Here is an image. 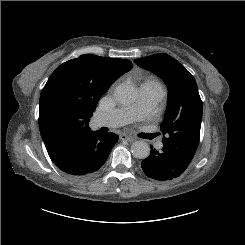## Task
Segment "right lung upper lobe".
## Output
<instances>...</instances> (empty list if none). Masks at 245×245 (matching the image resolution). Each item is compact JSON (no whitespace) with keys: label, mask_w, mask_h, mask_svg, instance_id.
Listing matches in <instances>:
<instances>
[{"label":"right lung upper lobe","mask_w":245,"mask_h":245,"mask_svg":"<svg viewBox=\"0 0 245 245\" xmlns=\"http://www.w3.org/2000/svg\"><path fill=\"white\" fill-rule=\"evenodd\" d=\"M131 68L129 60L84 54L51 74L40 95L39 128L52 161L92 132L88 123L99 99Z\"/></svg>","instance_id":"cb5924a9"}]
</instances>
